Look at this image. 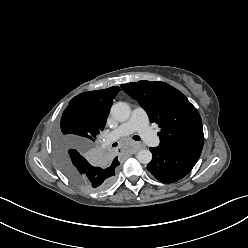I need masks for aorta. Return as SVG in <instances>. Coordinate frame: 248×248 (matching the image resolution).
Returning a JSON list of instances; mask_svg holds the SVG:
<instances>
[{
	"mask_svg": "<svg viewBox=\"0 0 248 248\" xmlns=\"http://www.w3.org/2000/svg\"><path fill=\"white\" fill-rule=\"evenodd\" d=\"M111 116L119 121L124 122L129 119L131 109L125 102H117L111 107ZM137 159L142 164H148L152 160V153L148 149L140 150L137 153Z\"/></svg>",
	"mask_w": 248,
	"mask_h": 248,
	"instance_id": "1",
	"label": "aorta"
}]
</instances>
